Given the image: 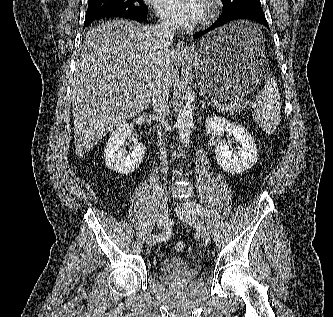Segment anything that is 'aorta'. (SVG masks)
Segmentation results:
<instances>
[{
	"mask_svg": "<svg viewBox=\"0 0 333 317\" xmlns=\"http://www.w3.org/2000/svg\"><path fill=\"white\" fill-rule=\"evenodd\" d=\"M179 138L183 146H187L190 141L191 129L193 127V110L189 103L179 109L177 118Z\"/></svg>",
	"mask_w": 333,
	"mask_h": 317,
	"instance_id": "obj_1",
	"label": "aorta"
}]
</instances>
